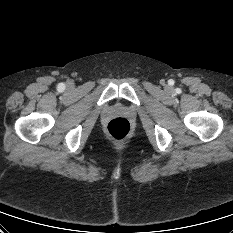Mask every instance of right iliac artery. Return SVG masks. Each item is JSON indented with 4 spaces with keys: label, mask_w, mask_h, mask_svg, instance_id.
I'll use <instances>...</instances> for the list:
<instances>
[{
    "label": "right iliac artery",
    "mask_w": 233,
    "mask_h": 233,
    "mask_svg": "<svg viewBox=\"0 0 233 233\" xmlns=\"http://www.w3.org/2000/svg\"><path fill=\"white\" fill-rule=\"evenodd\" d=\"M63 88H64V86H63V85H61V86H60V89H63Z\"/></svg>",
    "instance_id": "82829eb1"
}]
</instances>
